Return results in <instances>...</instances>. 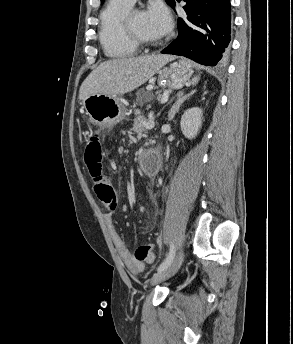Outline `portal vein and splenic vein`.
I'll list each match as a JSON object with an SVG mask.
<instances>
[{
    "label": "portal vein and splenic vein",
    "mask_w": 293,
    "mask_h": 344,
    "mask_svg": "<svg viewBox=\"0 0 293 344\" xmlns=\"http://www.w3.org/2000/svg\"><path fill=\"white\" fill-rule=\"evenodd\" d=\"M163 99H168V95L164 94Z\"/></svg>",
    "instance_id": "18ae733b"
}]
</instances>
